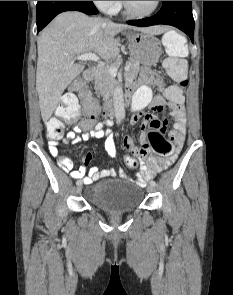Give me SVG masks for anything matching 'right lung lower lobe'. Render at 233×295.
Listing matches in <instances>:
<instances>
[{
	"label": "right lung lower lobe",
	"mask_w": 233,
	"mask_h": 295,
	"mask_svg": "<svg viewBox=\"0 0 233 295\" xmlns=\"http://www.w3.org/2000/svg\"><path fill=\"white\" fill-rule=\"evenodd\" d=\"M37 32L42 30L57 14L64 11H81L88 15L98 13L92 1H38Z\"/></svg>",
	"instance_id": "98d812e1"
}]
</instances>
